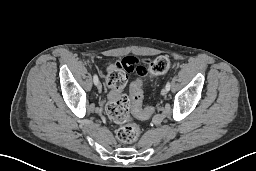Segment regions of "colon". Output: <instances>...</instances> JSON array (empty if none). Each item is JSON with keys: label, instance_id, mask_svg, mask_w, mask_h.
Segmentation results:
<instances>
[{"label": "colon", "instance_id": "colon-1", "mask_svg": "<svg viewBox=\"0 0 256 171\" xmlns=\"http://www.w3.org/2000/svg\"><path fill=\"white\" fill-rule=\"evenodd\" d=\"M170 68L168 56H159L150 63V72L154 75L165 73ZM127 81V73L121 69H114L107 76L110 87L106 113L109 119L121 124L116 132L117 139L123 144H130L138 140L140 127L131 121V114L143 117L150 114L151 109L143 108L142 82L136 81L130 85V96L122 93Z\"/></svg>", "mask_w": 256, "mask_h": 171}]
</instances>
